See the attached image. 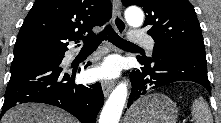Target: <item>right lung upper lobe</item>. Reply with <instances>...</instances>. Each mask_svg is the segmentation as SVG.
Masks as SVG:
<instances>
[{"label": "right lung upper lobe", "mask_w": 221, "mask_h": 123, "mask_svg": "<svg viewBox=\"0 0 221 123\" xmlns=\"http://www.w3.org/2000/svg\"><path fill=\"white\" fill-rule=\"evenodd\" d=\"M110 0H36L14 46V55L65 53L66 40H78L111 17Z\"/></svg>", "instance_id": "right-lung-upper-lobe-1"}]
</instances>
